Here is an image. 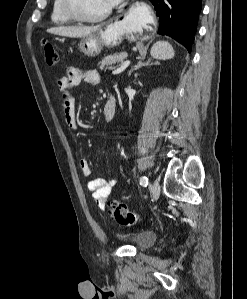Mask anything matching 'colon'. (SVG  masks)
Returning <instances> with one entry per match:
<instances>
[{
  "label": "colon",
  "instance_id": "obj_1",
  "mask_svg": "<svg viewBox=\"0 0 247 299\" xmlns=\"http://www.w3.org/2000/svg\"><path fill=\"white\" fill-rule=\"evenodd\" d=\"M43 49L46 63L49 66L56 65L59 62V55L53 43L45 41L43 43ZM109 210L112 217L120 225L131 226L138 220L137 214L130 211L126 204L118 200H112L109 202Z\"/></svg>",
  "mask_w": 247,
  "mask_h": 299
}]
</instances>
